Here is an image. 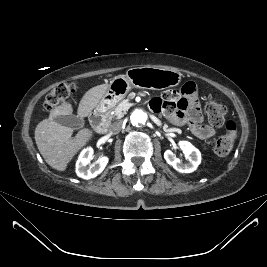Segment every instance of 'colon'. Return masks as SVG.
<instances>
[{
	"mask_svg": "<svg viewBox=\"0 0 267 267\" xmlns=\"http://www.w3.org/2000/svg\"><path fill=\"white\" fill-rule=\"evenodd\" d=\"M76 91V85L72 82H65L55 86L46 96L44 101V109L51 110L56 106L71 99ZM227 109L216 100L210 101L206 106V113L209 122L216 127L225 124L226 133L219 137L214 144L215 152L218 155H227L233 148L237 137V125L234 121L225 123Z\"/></svg>",
	"mask_w": 267,
	"mask_h": 267,
	"instance_id": "1",
	"label": "colon"
}]
</instances>
